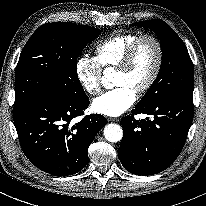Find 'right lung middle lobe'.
<instances>
[{"label": "right lung middle lobe", "mask_w": 206, "mask_h": 206, "mask_svg": "<svg viewBox=\"0 0 206 206\" xmlns=\"http://www.w3.org/2000/svg\"><path fill=\"white\" fill-rule=\"evenodd\" d=\"M100 30L73 23L40 26L23 48L16 67L14 109L42 96L78 99L85 95L77 76V57Z\"/></svg>", "instance_id": "right-lung-middle-lobe-1"}]
</instances>
